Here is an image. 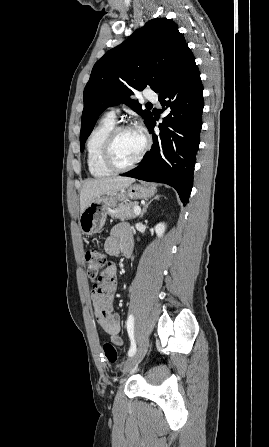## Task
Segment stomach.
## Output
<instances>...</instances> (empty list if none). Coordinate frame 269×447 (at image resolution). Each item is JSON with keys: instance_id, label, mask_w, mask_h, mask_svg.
Segmentation results:
<instances>
[{"instance_id": "stomach-1", "label": "stomach", "mask_w": 269, "mask_h": 447, "mask_svg": "<svg viewBox=\"0 0 269 447\" xmlns=\"http://www.w3.org/2000/svg\"><path fill=\"white\" fill-rule=\"evenodd\" d=\"M156 194L155 186L152 184H133L128 188H122L118 192L103 194L92 200L85 208L79 218V225L82 233L93 235L98 233L99 229L105 224L107 208H116L117 202H126V200H146Z\"/></svg>"}]
</instances>
